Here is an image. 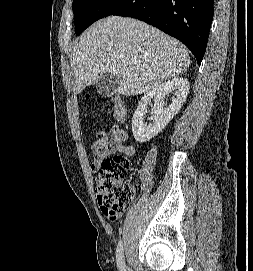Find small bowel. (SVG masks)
<instances>
[{"mask_svg":"<svg viewBox=\"0 0 253 271\" xmlns=\"http://www.w3.org/2000/svg\"><path fill=\"white\" fill-rule=\"evenodd\" d=\"M127 138V132L118 126H113L109 131L98 132L91 145L93 150L91 171L97 172L101 161L111 154L122 153L126 156H133L135 154L134 146L124 144Z\"/></svg>","mask_w":253,"mask_h":271,"instance_id":"c3829d8e","label":"small bowel"}]
</instances>
